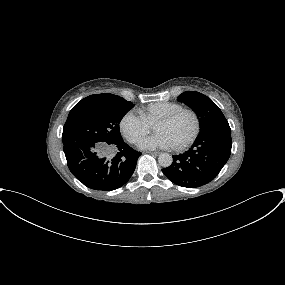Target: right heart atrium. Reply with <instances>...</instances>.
Returning <instances> with one entry per match:
<instances>
[{
  "instance_id": "d8ad5b80",
  "label": "right heart atrium",
  "mask_w": 285,
  "mask_h": 285,
  "mask_svg": "<svg viewBox=\"0 0 285 285\" xmlns=\"http://www.w3.org/2000/svg\"><path fill=\"white\" fill-rule=\"evenodd\" d=\"M150 129L151 125L134 111L127 112L120 121V130L123 136L131 143H136Z\"/></svg>"
}]
</instances>
